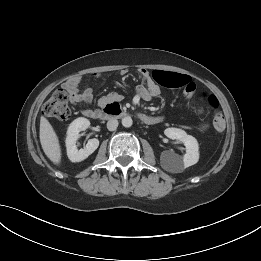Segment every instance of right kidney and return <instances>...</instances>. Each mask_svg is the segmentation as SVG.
Instances as JSON below:
<instances>
[{
  "label": "right kidney",
  "instance_id": "1",
  "mask_svg": "<svg viewBox=\"0 0 261 261\" xmlns=\"http://www.w3.org/2000/svg\"><path fill=\"white\" fill-rule=\"evenodd\" d=\"M90 126V121L86 118L79 117L75 119L68 127L66 137V148L68 158L72 162H81L91 155L99 146V140L96 138L89 139L84 149H77L76 141L79 133Z\"/></svg>",
  "mask_w": 261,
  "mask_h": 261
}]
</instances>
